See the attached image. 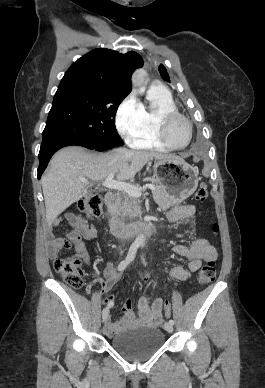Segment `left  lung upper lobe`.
Returning <instances> with one entry per match:
<instances>
[{"label":"left lung upper lobe","mask_w":265,"mask_h":388,"mask_svg":"<svg viewBox=\"0 0 265 388\" xmlns=\"http://www.w3.org/2000/svg\"><path fill=\"white\" fill-rule=\"evenodd\" d=\"M159 72H160L161 77H162L164 80H166L167 82L170 81L169 75H168V73H167V70H166V68H165L163 65H160V66H159Z\"/></svg>","instance_id":"left-lung-upper-lobe-1"}]
</instances>
